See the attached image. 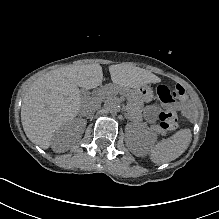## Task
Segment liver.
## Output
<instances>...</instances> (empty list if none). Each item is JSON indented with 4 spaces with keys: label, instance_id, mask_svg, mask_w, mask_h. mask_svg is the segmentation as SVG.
Wrapping results in <instances>:
<instances>
[{
    "label": "liver",
    "instance_id": "6515ba94",
    "mask_svg": "<svg viewBox=\"0 0 219 219\" xmlns=\"http://www.w3.org/2000/svg\"><path fill=\"white\" fill-rule=\"evenodd\" d=\"M113 85L137 88L151 82L149 71L130 65H111ZM100 64L65 66L38 77L27 89L21 107V122L26 136L42 149L51 145L55 132L65 127L90 106V113L101 106L99 96H83L79 87L89 90L102 84Z\"/></svg>",
    "mask_w": 219,
    "mask_h": 219
}]
</instances>
